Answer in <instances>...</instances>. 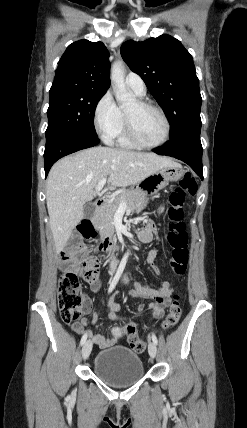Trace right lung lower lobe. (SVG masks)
Masks as SVG:
<instances>
[{
	"instance_id": "98d812e1",
	"label": "right lung lower lobe",
	"mask_w": 247,
	"mask_h": 428,
	"mask_svg": "<svg viewBox=\"0 0 247 428\" xmlns=\"http://www.w3.org/2000/svg\"><path fill=\"white\" fill-rule=\"evenodd\" d=\"M99 142L98 137H88L74 133H58L46 137L44 152L45 176H47L52 165L61 157L93 147Z\"/></svg>"
}]
</instances>
